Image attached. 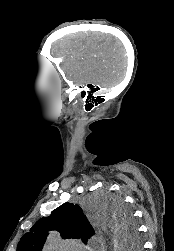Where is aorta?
I'll use <instances>...</instances> for the list:
<instances>
[{
  "mask_svg": "<svg viewBox=\"0 0 174 251\" xmlns=\"http://www.w3.org/2000/svg\"><path fill=\"white\" fill-rule=\"evenodd\" d=\"M107 226L109 227L110 232L112 233V237L116 242V250H127L130 251V247L126 245L125 241L120 236L117 224L113 219H110L107 222ZM48 244L51 250H58L61 246V241L59 239V236L57 234H51L48 238ZM61 250V249H59Z\"/></svg>",
  "mask_w": 174,
  "mask_h": 251,
  "instance_id": "762f6f07",
  "label": "aorta"
}]
</instances>
